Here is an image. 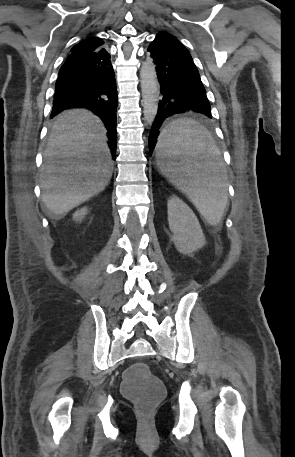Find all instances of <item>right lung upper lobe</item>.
Wrapping results in <instances>:
<instances>
[{"mask_svg":"<svg viewBox=\"0 0 295 457\" xmlns=\"http://www.w3.org/2000/svg\"><path fill=\"white\" fill-rule=\"evenodd\" d=\"M103 44L104 42L101 38L91 36L75 45L71 49V55L84 54L96 51L97 49L101 48Z\"/></svg>","mask_w":295,"mask_h":457,"instance_id":"obj_1","label":"right lung upper lobe"}]
</instances>
